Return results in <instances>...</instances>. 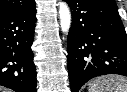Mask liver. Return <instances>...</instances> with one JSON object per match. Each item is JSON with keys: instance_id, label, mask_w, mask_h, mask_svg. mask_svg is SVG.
I'll return each mask as SVG.
<instances>
[{"instance_id": "1", "label": "liver", "mask_w": 127, "mask_h": 92, "mask_svg": "<svg viewBox=\"0 0 127 92\" xmlns=\"http://www.w3.org/2000/svg\"><path fill=\"white\" fill-rule=\"evenodd\" d=\"M0 92H9L7 89H2L1 87H0Z\"/></svg>"}]
</instances>
